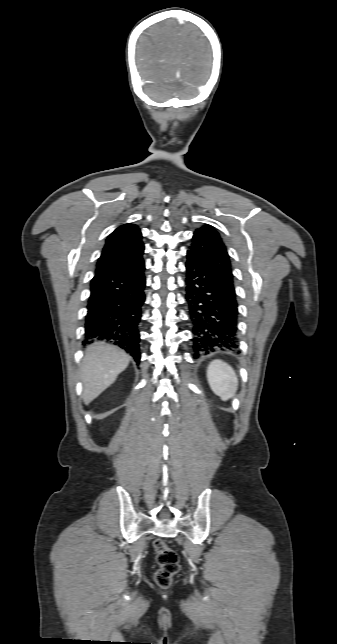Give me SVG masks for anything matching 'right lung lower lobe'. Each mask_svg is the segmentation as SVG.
<instances>
[{
	"instance_id": "98d812e1",
	"label": "right lung lower lobe",
	"mask_w": 337,
	"mask_h": 644,
	"mask_svg": "<svg viewBox=\"0 0 337 644\" xmlns=\"http://www.w3.org/2000/svg\"><path fill=\"white\" fill-rule=\"evenodd\" d=\"M144 270L141 257L96 272L91 281L84 344L94 339L108 340L139 362L138 325L145 301Z\"/></svg>"
}]
</instances>
